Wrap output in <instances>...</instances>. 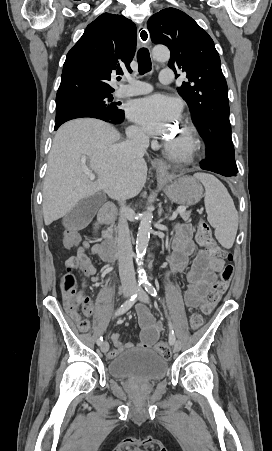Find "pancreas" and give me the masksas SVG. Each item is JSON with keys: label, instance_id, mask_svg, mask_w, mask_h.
<instances>
[{"label": "pancreas", "instance_id": "cf45deb5", "mask_svg": "<svg viewBox=\"0 0 272 451\" xmlns=\"http://www.w3.org/2000/svg\"><path fill=\"white\" fill-rule=\"evenodd\" d=\"M190 214L191 212H182L180 216L182 220H185V222H187V220H189L190 218ZM105 235H107V237H111V239H117V227H108L107 231H105Z\"/></svg>", "mask_w": 272, "mask_h": 451}]
</instances>
